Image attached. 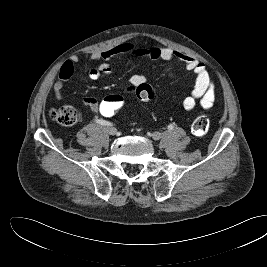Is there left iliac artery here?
I'll use <instances>...</instances> for the list:
<instances>
[{
	"mask_svg": "<svg viewBox=\"0 0 267 267\" xmlns=\"http://www.w3.org/2000/svg\"><path fill=\"white\" fill-rule=\"evenodd\" d=\"M174 128V126L172 125V124H170L169 126H168V129L169 130H172Z\"/></svg>",
	"mask_w": 267,
	"mask_h": 267,
	"instance_id": "44dca946",
	"label": "left iliac artery"
}]
</instances>
